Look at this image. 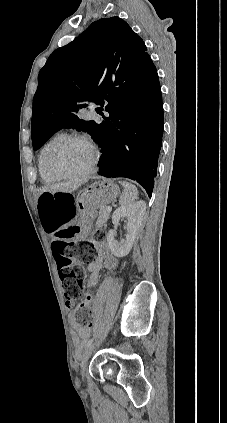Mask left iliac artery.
Segmentation results:
<instances>
[{
    "instance_id": "44dca946",
    "label": "left iliac artery",
    "mask_w": 227,
    "mask_h": 423,
    "mask_svg": "<svg viewBox=\"0 0 227 423\" xmlns=\"http://www.w3.org/2000/svg\"><path fill=\"white\" fill-rule=\"evenodd\" d=\"M93 342H94V339H90V340L88 341V343L86 344V348H87L88 346H90Z\"/></svg>"
}]
</instances>
